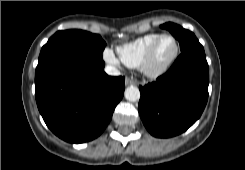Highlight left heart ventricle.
I'll list each match as a JSON object with an SVG mask.
<instances>
[{
  "mask_svg": "<svg viewBox=\"0 0 245 170\" xmlns=\"http://www.w3.org/2000/svg\"><path fill=\"white\" fill-rule=\"evenodd\" d=\"M173 43L171 39L164 38L158 45L154 55L153 64L159 65L163 63L172 53Z\"/></svg>",
  "mask_w": 245,
  "mask_h": 170,
  "instance_id": "b2bd125f",
  "label": "left heart ventricle"
}]
</instances>
